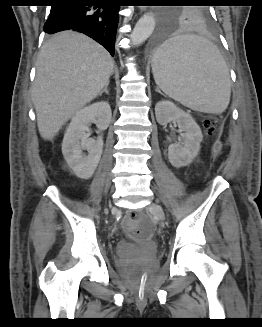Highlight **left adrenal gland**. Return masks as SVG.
I'll return each mask as SVG.
<instances>
[{
	"mask_svg": "<svg viewBox=\"0 0 262 327\" xmlns=\"http://www.w3.org/2000/svg\"><path fill=\"white\" fill-rule=\"evenodd\" d=\"M156 92H159V93H161V92H160V90H159L158 88L156 89Z\"/></svg>",
	"mask_w": 262,
	"mask_h": 327,
	"instance_id": "a2214340",
	"label": "left adrenal gland"
}]
</instances>
